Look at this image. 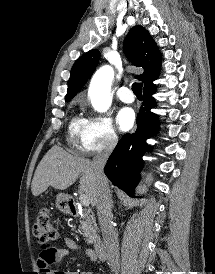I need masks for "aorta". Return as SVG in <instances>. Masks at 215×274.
<instances>
[{
	"mask_svg": "<svg viewBox=\"0 0 215 274\" xmlns=\"http://www.w3.org/2000/svg\"><path fill=\"white\" fill-rule=\"evenodd\" d=\"M113 77L114 71L109 65L101 67L92 77L88 94L93 108L98 112H106L111 106L110 91Z\"/></svg>",
	"mask_w": 215,
	"mask_h": 274,
	"instance_id": "762f6f07",
	"label": "aorta"
}]
</instances>
